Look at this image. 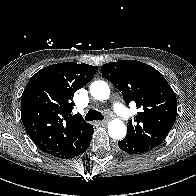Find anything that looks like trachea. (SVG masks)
Here are the masks:
<instances>
[{
	"label": "trachea",
	"instance_id": "1",
	"mask_svg": "<svg viewBox=\"0 0 196 196\" xmlns=\"http://www.w3.org/2000/svg\"><path fill=\"white\" fill-rule=\"evenodd\" d=\"M85 119L88 121H93V120L101 121L104 119V116L102 115L101 112L91 109L86 114Z\"/></svg>",
	"mask_w": 196,
	"mask_h": 196
}]
</instances>
